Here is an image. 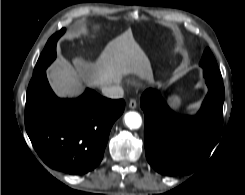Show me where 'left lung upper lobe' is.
Returning <instances> with one entry per match:
<instances>
[{"label":"left lung upper lobe","instance_id":"obj_1","mask_svg":"<svg viewBox=\"0 0 245 195\" xmlns=\"http://www.w3.org/2000/svg\"><path fill=\"white\" fill-rule=\"evenodd\" d=\"M200 66L203 68L205 79L222 82V76L219 71L218 65L209 48H206V50L204 51Z\"/></svg>","mask_w":245,"mask_h":195}]
</instances>
